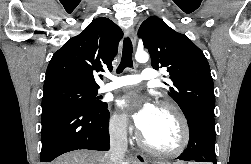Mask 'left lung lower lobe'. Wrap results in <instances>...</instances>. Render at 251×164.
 I'll return each mask as SVG.
<instances>
[{"label": "left lung lower lobe", "mask_w": 251, "mask_h": 164, "mask_svg": "<svg viewBox=\"0 0 251 164\" xmlns=\"http://www.w3.org/2000/svg\"><path fill=\"white\" fill-rule=\"evenodd\" d=\"M190 139L188 147L180 160L196 162H216L214 112L207 110L192 111L186 116Z\"/></svg>", "instance_id": "0a47b994"}]
</instances>
